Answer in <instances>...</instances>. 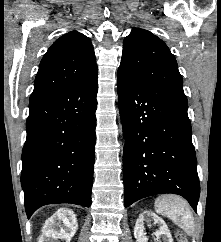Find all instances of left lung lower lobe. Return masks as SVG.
<instances>
[{
	"instance_id": "0a47b994",
	"label": "left lung lower lobe",
	"mask_w": 221,
	"mask_h": 242,
	"mask_svg": "<svg viewBox=\"0 0 221 242\" xmlns=\"http://www.w3.org/2000/svg\"><path fill=\"white\" fill-rule=\"evenodd\" d=\"M119 111L128 146L123 155L125 206L173 193L197 211L200 184L188 103L157 94L118 69Z\"/></svg>"
}]
</instances>
